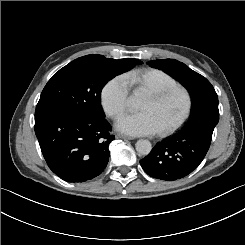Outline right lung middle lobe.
<instances>
[{
  "instance_id": "dd1d6c3e",
  "label": "right lung middle lobe",
  "mask_w": 245,
  "mask_h": 245,
  "mask_svg": "<svg viewBox=\"0 0 245 245\" xmlns=\"http://www.w3.org/2000/svg\"><path fill=\"white\" fill-rule=\"evenodd\" d=\"M137 59H108L91 54L73 60L55 73L44 87L35 117L48 113H70L93 120L104 119L100 93L116 75L140 64Z\"/></svg>"
}]
</instances>
